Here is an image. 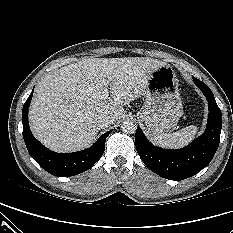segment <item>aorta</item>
<instances>
[{"mask_svg": "<svg viewBox=\"0 0 233 233\" xmlns=\"http://www.w3.org/2000/svg\"><path fill=\"white\" fill-rule=\"evenodd\" d=\"M121 129L124 133H129V134H132V133H135L136 132V129H137V126H136V123L132 120H126L122 123L121 125Z\"/></svg>", "mask_w": 233, "mask_h": 233, "instance_id": "aorta-1", "label": "aorta"}]
</instances>
